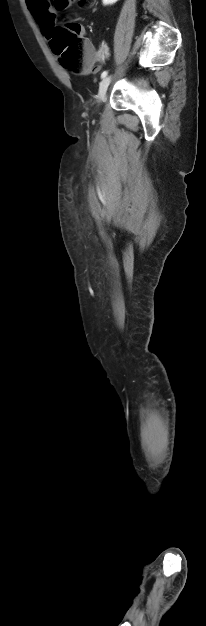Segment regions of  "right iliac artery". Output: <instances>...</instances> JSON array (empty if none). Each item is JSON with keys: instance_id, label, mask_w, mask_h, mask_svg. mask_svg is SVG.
<instances>
[{"instance_id": "right-iliac-artery-1", "label": "right iliac artery", "mask_w": 206, "mask_h": 626, "mask_svg": "<svg viewBox=\"0 0 206 626\" xmlns=\"http://www.w3.org/2000/svg\"><path fill=\"white\" fill-rule=\"evenodd\" d=\"M108 74V71H103L101 74V78H105Z\"/></svg>"}]
</instances>
